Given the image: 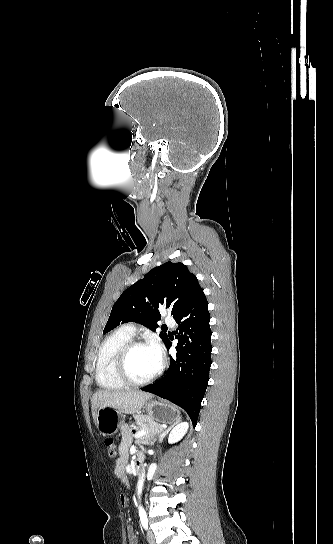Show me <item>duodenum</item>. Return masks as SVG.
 Listing matches in <instances>:
<instances>
[{
  "instance_id": "duodenum-1",
  "label": "duodenum",
  "mask_w": 333,
  "mask_h": 544,
  "mask_svg": "<svg viewBox=\"0 0 333 544\" xmlns=\"http://www.w3.org/2000/svg\"><path fill=\"white\" fill-rule=\"evenodd\" d=\"M143 465H144V456L143 454L139 453L135 457V461L133 465L134 472L136 473L140 472L143 468Z\"/></svg>"
}]
</instances>
